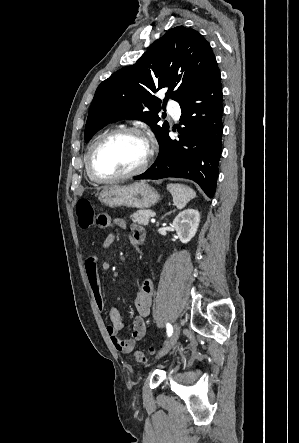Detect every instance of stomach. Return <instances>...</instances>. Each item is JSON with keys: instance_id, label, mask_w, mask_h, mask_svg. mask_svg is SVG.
Instances as JSON below:
<instances>
[{"instance_id": "obj_1", "label": "stomach", "mask_w": 299, "mask_h": 443, "mask_svg": "<svg viewBox=\"0 0 299 443\" xmlns=\"http://www.w3.org/2000/svg\"><path fill=\"white\" fill-rule=\"evenodd\" d=\"M99 200L109 207L149 208L159 200L158 192L145 181L128 186L111 185L99 194Z\"/></svg>"}]
</instances>
